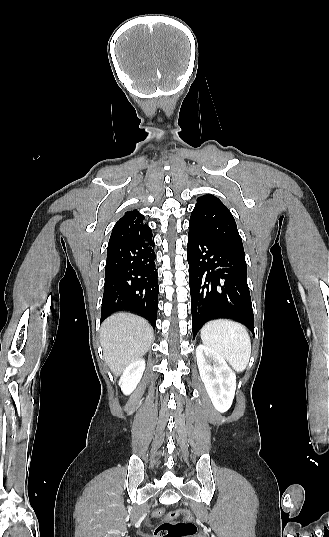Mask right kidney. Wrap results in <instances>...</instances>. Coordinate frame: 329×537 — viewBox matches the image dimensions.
<instances>
[{
  "mask_svg": "<svg viewBox=\"0 0 329 537\" xmlns=\"http://www.w3.org/2000/svg\"><path fill=\"white\" fill-rule=\"evenodd\" d=\"M145 370V360L139 359L128 365L120 377L119 385L124 394L129 395L134 391Z\"/></svg>",
  "mask_w": 329,
  "mask_h": 537,
  "instance_id": "obj_1",
  "label": "right kidney"
}]
</instances>
